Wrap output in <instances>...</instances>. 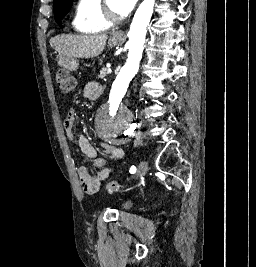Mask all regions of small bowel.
<instances>
[{"instance_id": "c3829d8e", "label": "small bowel", "mask_w": 256, "mask_h": 267, "mask_svg": "<svg viewBox=\"0 0 256 267\" xmlns=\"http://www.w3.org/2000/svg\"><path fill=\"white\" fill-rule=\"evenodd\" d=\"M102 94V88L97 82H88L84 89L83 95L89 100H96ZM77 113L74 109H70L64 120V128L69 139L84 153L86 156L95 159L92 170L87 167H79L77 175L82 190L87 194H94L99 190L103 180L109 177L112 168L109 163L120 162L124 157V152L121 148L109 143H102L101 149L105 153L106 158L97 156L95 148L91 145L88 139L80 134L74 133V123Z\"/></svg>"}]
</instances>
